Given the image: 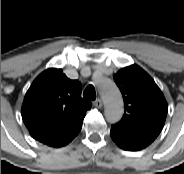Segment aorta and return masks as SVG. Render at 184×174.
I'll list each match as a JSON object with an SVG mask.
<instances>
[{
  "instance_id": "aorta-1",
  "label": "aorta",
  "mask_w": 184,
  "mask_h": 174,
  "mask_svg": "<svg viewBox=\"0 0 184 174\" xmlns=\"http://www.w3.org/2000/svg\"><path fill=\"white\" fill-rule=\"evenodd\" d=\"M98 88L105 103V117L108 122H118L123 114V100L115 83L107 78L98 81Z\"/></svg>"
}]
</instances>
